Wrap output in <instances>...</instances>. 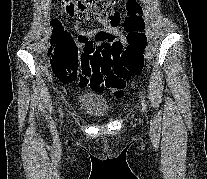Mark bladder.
I'll return each instance as SVG.
<instances>
[{
    "mask_svg": "<svg viewBox=\"0 0 207 179\" xmlns=\"http://www.w3.org/2000/svg\"><path fill=\"white\" fill-rule=\"evenodd\" d=\"M80 109L95 117L104 118L109 113L108 105L104 97L97 92H87L79 96Z\"/></svg>",
    "mask_w": 207,
    "mask_h": 179,
    "instance_id": "31cf9c89",
    "label": "bladder"
}]
</instances>
